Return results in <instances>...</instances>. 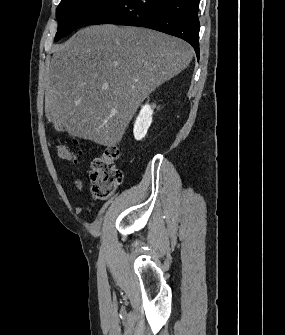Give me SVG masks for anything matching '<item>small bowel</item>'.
<instances>
[{
	"instance_id": "small-bowel-1",
	"label": "small bowel",
	"mask_w": 285,
	"mask_h": 335,
	"mask_svg": "<svg viewBox=\"0 0 285 335\" xmlns=\"http://www.w3.org/2000/svg\"><path fill=\"white\" fill-rule=\"evenodd\" d=\"M81 185L79 184V187H80ZM81 211V209L80 208H77V212L79 213Z\"/></svg>"
}]
</instances>
